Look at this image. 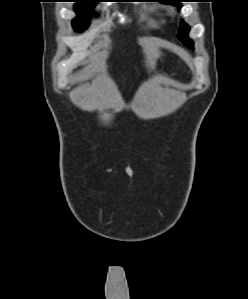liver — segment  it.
Masks as SVG:
<instances>
[{"label": "liver", "mask_w": 248, "mask_h": 299, "mask_svg": "<svg viewBox=\"0 0 248 299\" xmlns=\"http://www.w3.org/2000/svg\"><path fill=\"white\" fill-rule=\"evenodd\" d=\"M143 43H144V51L146 53L147 63L152 65L155 59L159 58L161 55L158 49L159 40L155 38L144 39ZM97 70L99 71L104 70L103 62L91 63L86 67H84L76 74V76L73 79V83H78V82L88 80L90 77H92L93 73Z\"/></svg>", "instance_id": "6515ba94"}]
</instances>
